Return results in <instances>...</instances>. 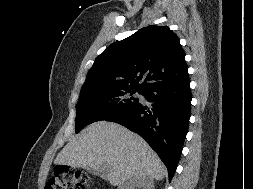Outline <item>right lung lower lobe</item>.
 <instances>
[{
	"label": "right lung lower lobe",
	"mask_w": 253,
	"mask_h": 189,
	"mask_svg": "<svg viewBox=\"0 0 253 189\" xmlns=\"http://www.w3.org/2000/svg\"><path fill=\"white\" fill-rule=\"evenodd\" d=\"M142 95L151 102L136 106L106 120L119 123L144 138L168 169L171 181L179 162L191 116L189 77L152 86Z\"/></svg>",
	"instance_id": "1"
}]
</instances>
